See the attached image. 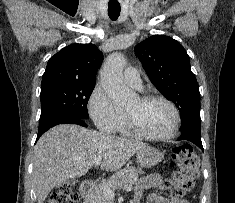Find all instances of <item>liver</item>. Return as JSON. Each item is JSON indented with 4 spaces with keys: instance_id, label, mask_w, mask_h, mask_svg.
<instances>
[{
    "instance_id": "obj_1",
    "label": "liver",
    "mask_w": 235,
    "mask_h": 203,
    "mask_svg": "<svg viewBox=\"0 0 235 203\" xmlns=\"http://www.w3.org/2000/svg\"><path fill=\"white\" fill-rule=\"evenodd\" d=\"M146 144L78 125L61 124L43 134L34 148L33 186L38 203L61 182L85 175L97 158L101 168L119 170Z\"/></svg>"
}]
</instances>
